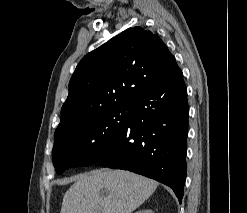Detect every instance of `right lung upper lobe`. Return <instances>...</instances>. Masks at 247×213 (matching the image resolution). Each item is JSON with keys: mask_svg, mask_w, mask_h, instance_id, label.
<instances>
[{"mask_svg": "<svg viewBox=\"0 0 247 213\" xmlns=\"http://www.w3.org/2000/svg\"><path fill=\"white\" fill-rule=\"evenodd\" d=\"M178 69L175 57L156 34L141 27L123 31L77 65L54 138L130 101Z\"/></svg>", "mask_w": 247, "mask_h": 213, "instance_id": "right-lung-upper-lobe-1", "label": "right lung upper lobe"}]
</instances>
